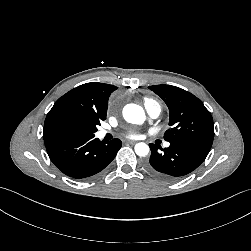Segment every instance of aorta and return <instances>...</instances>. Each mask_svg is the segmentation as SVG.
Segmentation results:
<instances>
[{
	"instance_id": "obj_1",
	"label": "aorta",
	"mask_w": 251,
	"mask_h": 251,
	"mask_svg": "<svg viewBox=\"0 0 251 251\" xmlns=\"http://www.w3.org/2000/svg\"><path fill=\"white\" fill-rule=\"evenodd\" d=\"M123 117L128 123L142 124L145 121L144 110L137 104H127L123 109ZM134 149L140 157H145L149 153V146L143 142L137 143Z\"/></svg>"
}]
</instances>
